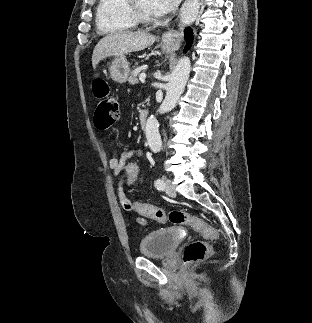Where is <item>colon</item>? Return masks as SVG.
<instances>
[{"mask_svg":"<svg viewBox=\"0 0 312 323\" xmlns=\"http://www.w3.org/2000/svg\"><path fill=\"white\" fill-rule=\"evenodd\" d=\"M93 94L99 99L96 111L94 113L95 127L99 131H104L109 128L120 116V106L116 98L112 95L110 86L102 78H94L92 84ZM126 173L130 177V182L137 179L139 170L134 164H127ZM127 210L131 209L130 202L126 201L123 204ZM135 213H156L155 218L161 223H165L166 215L162 211L161 206H152L151 202H135ZM171 224L174 225H189L194 231L201 232L208 237H215L216 233L209 228L201 218L190 214L187 211L171 210L169 212ZM211 253L206 242L196 241L188 244L184 250V261L188 264L198 263L203 261L208 254ZM187 267V264H184Z\"/></svg>","mask_w":312,"mask_h":323,"instance_id":"obj_1","label":"colon"}]
</instances>
